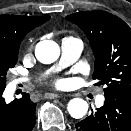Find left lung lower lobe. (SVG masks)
<instances>
[{"instance_id":"left-lung-lower-lobe-1","label":"left lung lower lobe","mask_w":131,"mask_h":131,"mask_svg":"<svg viewBox=\"0 0 131 131\" xmlns=\"http://www.w3.org/2000/svg\"><path fill=\"white\" fill-rule=\"evenodd\" d=\"M76 131H131V102L105 96L104 106L78 122Z\"/></svg>"}]
</instances>
